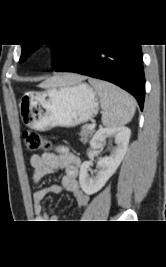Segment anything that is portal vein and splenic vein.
<instances>
[{"label": "portal vein and splenic vein", "mask_w": 166, "mask_h": 267, "mask_svg": "<svg viewBox=\"0 0 166 267\" xmlns=\"http://www.w3.org/2000/svg\"><path fill=\"white\" fill-rule=\"evenodd\" d=\"M89 128H90V129H94V128H95V124H90V125H89Z\"/></svg>", "instance_id": "obj_1"}]
</instances>
